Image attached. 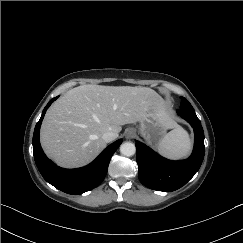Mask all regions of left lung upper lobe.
<instances>
[{
    "label": "left lung upper lobe",
    "mask_w": 243,
    "mask_h": 243,
    "mask_svg": "<svg viewBox=\"0 0 243 243\" xmlns=\"http://www.w3.org/2000/svg\"><path fill=\"white\" fill-rule=\"evenodd\" d=\"M180 110L187 111V112H190V113H195L191 104L184 97H181V109Z\"/></svg>",
    "instance_id": "5c2ea615"
}]
</instances>
